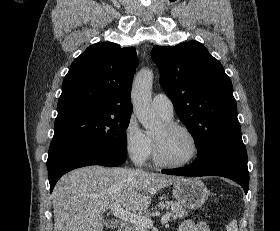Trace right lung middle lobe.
I'll use <instances>...</instances> for the list:
<instances>
[{"label": "right lung middle lobe", "mask_w": 280, "mask_h": 231, "mask_svg": "<svg viewBox=\"0 0 280 231\" xmlns=\"http://www.w3.org/2000/svg\"><path fill=\"white\" fill-rule=\"evenodd\" d=\"M130 116L103 114L58 120L54 124L53 140H77L126 156V129Z\"/></svg>", "instance_id": "obj_1"}]
</instances>
